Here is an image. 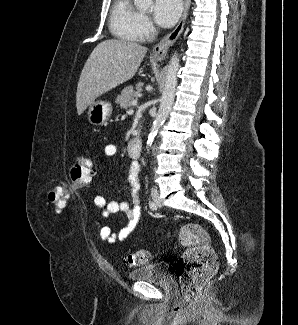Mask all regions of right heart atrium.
<instances>
[{"mask_svg":"<svg viewBox=\"0 0 298 325\" xmlns=\"http://www.w3.org/2000/svg\"><path fill=\"white\" fill-rule=\"evenodd\" d=\"M138 25L143 30L134 31V36L136 37L137 41H151V34L154 33V27L148 16L141 14Z\"/></svg>","mask_w":298,"mask_h":325,"instance_id":"d8ad5b80","label":"right heart atrium"}]
</instances>
